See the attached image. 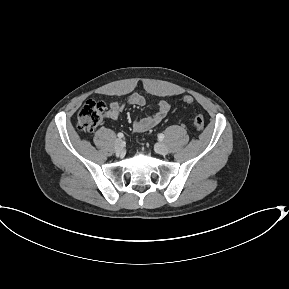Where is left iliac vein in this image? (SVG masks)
<instances>
[{
	"instance_id": "obj_1",
	"label": "left iliac vein",
	"mask_w": 289,
	"mask_h": 289,
	"mask_svg": "<svg viewBox=\"0 0 289 289\" xmlns=\"http://www.w3.org/2000/svg\"><path fill=\"white\" fill-rule=\"evenodd\" d=\"M155 149L161 155H166L168 153V147L164 143L156 144Z\"/></svg>"
}]
</instances>
